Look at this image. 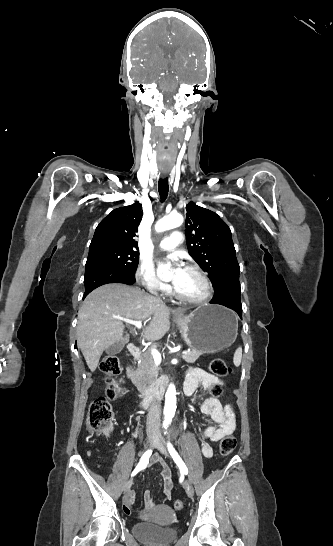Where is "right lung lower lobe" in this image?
Segmentation results:
<instances>
[{"mask_svg": "<svg viewBox=\"0 0 333 546\" xmlns=\"http://www.w3.org/2000/svg\"><path fill=\"white\" fill-rule=\"evenodd\" d=\"M135 275L103 264H94L85 268V293L83 299L95 288L108 283H135Z\"/></svg>", "mask_w": 333, "mask_h": 546, "instance_id": "right-lung-lower-lobe-1", "label": "right lung lower lobe"}]
</instances>
